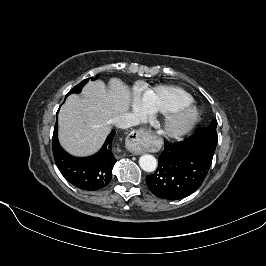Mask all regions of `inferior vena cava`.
Instances as JSON below:
<instances>
[{
	"instance_id": "602c4592",
	"label": "inferior vena cava",
	"mask_w": 266,
	"mask_h": 266,
	"mask_svg": "<svg viewBox=\"0 0 266 266\" xmlns=\"http://www.w3.org/2000/svg\"><path fill=\"white\" fill-rule=\"evenodd\" d=\"M111 123L117 128L127 129L139 124V119L132 113H122L111 119Z\"/></svg>"
}]
</instances>
